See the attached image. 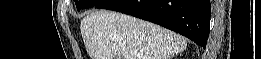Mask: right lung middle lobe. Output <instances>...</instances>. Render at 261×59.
Returning <instances> with one entry per match:
<instances>
[{"label": "right lung middle lobe", "mask_w": 261, "mask_h": 59, "mask_svg": "<svg viewBox=\"0 0 261 59\" xmlns=\"http://www.w3.org/2000/svg\"><path fill=\"white\" fill-rule=\"evenodd\" d=\"M103 0H75V4L78 10L94 7Z\"/></svg>", "instance_id": "obj_1"}]
</instances>
